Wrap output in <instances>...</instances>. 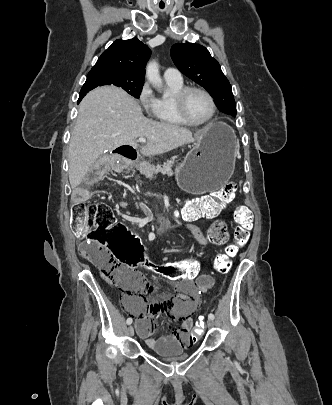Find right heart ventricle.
Returning a JSON list of instances; mask_svg holds the SVG:
<instances>
[{"instance_id":"right-heart-ventricle-1","label":"right heart ventricle","mask_w":332,"mask_h":405,"mask_svg":"<svg viewBox=\"0 0 332 405\" xmlns=\"http://www.w3.org/2000/svg\"><path fill=\"white\" fill-rule=\"evenodd\" d=\"M166 84L170 94L157 98V106L153 116L163 124L188 125L179 117L174 101L175 94L185 87L183 81L166 80Z\"/></svg>"}]
</instances>
